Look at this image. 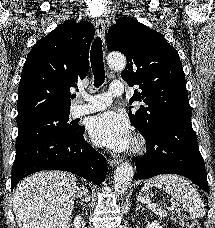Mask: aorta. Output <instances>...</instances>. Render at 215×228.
Segmentation results:
<instances>
[{
	"label": "aorta",
	"instance_id": "1",
	"mask_svg": "<svg viewBox=\"0 0 215 228\" xmlns=\"http://www.w3.org/2000/svg\"><path fill=\"white\" fill-rule=\"evenodd\" d=\"M107 62L109 68H113V70H124L126 66L125 56H122V54H116V52L109 54ZM133 176L134 168H132L131 164H128V162L120 164V166L116 168L114 174V188L116 192L124 194V192H126V188L130 186Z\"/></svg>",
	"mask_w": 215,
	"mask_h": 228
}]
</instances>
